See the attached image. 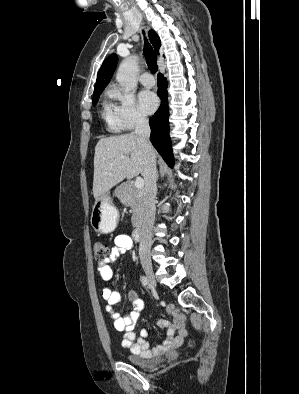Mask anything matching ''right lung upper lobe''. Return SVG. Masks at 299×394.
Segmentation results:
<instances>
[{"label":"right lung upper lobe","instance_id":"right-lung-upper-lobe-1","mask_svg":"<svg viewBox=\"0 0 299 394\" xmlns=\"http://www.w3.org/2000/svg\"><path fill=\"white\" fill-rule=\"evenodd\" d=\"M149 38L155 48L156 53L159 55V49L161 46L159 36L156 34L155 31L150 30L149 31ZM117 61H118L117 55L112 54L103 62L102 66L99 70L98 76H97L93 96L96 94L102 93L104 88L107 86V84L109 83V81L112 78L113 72H114L115 67L117 65Z\"/></svg>","mask_w":299,"mask_h":394}]
</instances>
